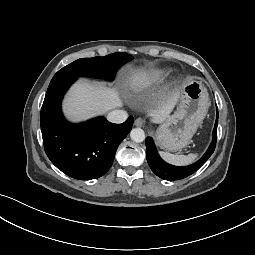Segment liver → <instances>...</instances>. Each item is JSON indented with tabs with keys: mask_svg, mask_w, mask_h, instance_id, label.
Returning a JSON list of instances; mask_svg holds the SVG:
<instances>
[{
	"mask_svg": "<svg viewBox=\"0 0 255 255\" xmlns=\"http://www.w3.org/2000/svg\"><path fill=\"white\" fill-rule=\"evenodd\" d=\"M139 78L136 77L135 80ZM180 91H176L171 98L150 111L148 114L155 123L164 121L179 99ZM122 106V100L115 88L107 87L101 83L88 81L77 82L68 92L63 109L66 116L75 122L86 120L96 115L109 112Z\"/></svg>",
	"mask_w": 255,
	"mask_h": 255,
	"instance_id": "6515ba94",
	"label": "liver"
}]
</instances>
